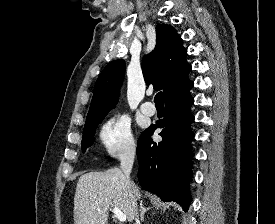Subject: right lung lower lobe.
<instances>
[{"label":"right lung lower lobe","instance_id":"98d812e1","mask_svg":"<svg viewBox=\"0 0 275 224\" xmlns=\"http://www.w3.org/2000/svg\"><path fill=\"white\" fill-rule=\"evenodd\" d=\"M194 86L188 80L165 96V116L151 125L137 142L139 161L138 179L141 187L159 195L163 201H175L187 211L191 202L188 191L192 176L193 157L191 140L194 134L190 124L194 116L190 107L194 103L189 91ZM161 142H153L151 135L156 128ZM176 168V169H175Z\"/></svg>","mask_w":275,"mask_h":224}]
</instances>
